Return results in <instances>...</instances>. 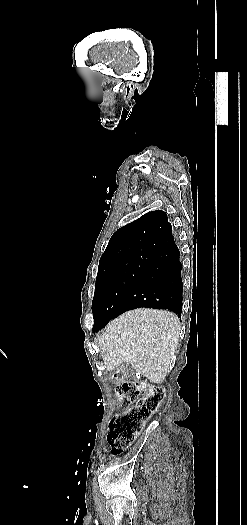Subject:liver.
I'll use <instances>...</instances> for the list:
<instances>
[{
    "label": "liver",
    "mask_w": 247,
    "mask_h": 525,
    "mask_svg": "<svg viewBox=\"0 0 247 525\" xmlns=\"http://www.w3.org/2000/svg\"><path fill=\"white\" fill-rule=\"evenodd\" d=\"M180 321L175 313L133 309L108 323L98 337L107 371L130 363L151 383L161 385L175 363Z\"/></svg>",
    "instance_id": "6515ba94"
}]
</instances>
